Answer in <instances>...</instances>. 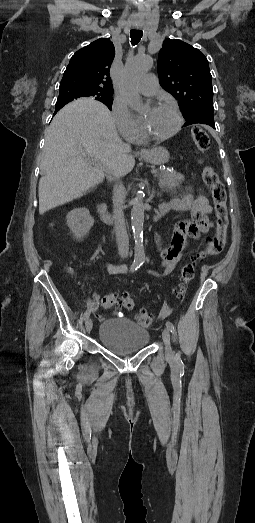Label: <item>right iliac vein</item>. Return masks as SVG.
<instances>
[{"mask_svg":"<svg viewBox=\"0 0 255 523\" xmlns=\"http://www.w3.org/2000/svg\"><path fill=\"white\" fill-rule=\"evenodd\" d=\"M92 327H93V322L90 318H88L85 322L86 331L90 332L92 330Z\"/></svg>","mask_w":255,"mask_h":523,"instance_id":"1","label":"right iliac vein"}]
</instances>
